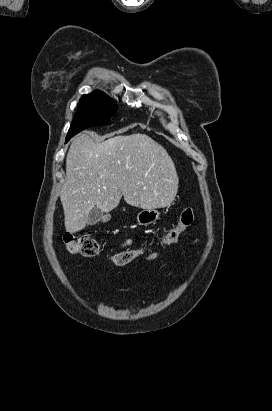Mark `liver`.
<instances>
[{"label": "liver", "instance_id": "1", "mask_svg": "<svg viewBox=\"0 0 272 411\" xmlns=\"http://www.w3.org/2000/svg\"><path fill=\"white\" fill-rule=\"evenodd\" d=\"M178 183L166 149L146 134L119 135L101 143L81 134L70 145L60 192L66 231L84 229L94 207L108 213L122 196L142 209L169 206Z\"/></svg>", "mask_w": 272, "mask_h": 411}]
</instances>
